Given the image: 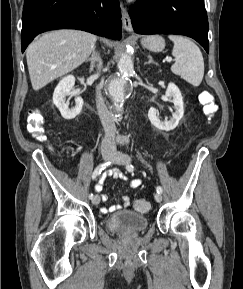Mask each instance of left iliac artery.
<instances>
[{
	"instance_id": "44dca946",
	"label": "left iliac artery",
	"mask_w": 243,
	"mask_h": 289,
	"mask_svg": "<svg viewBox=\"0 0 243 289\" xmlns=\"http://www.w3.org/2000/svg\"><path fill=\"white\" fill-rule=\"evenodd\" d=\"M127 169L129 170V171H133L134 170V166L133 165H131V164H128L127 165ZM156 191H157V193H162V191H163V189H162V187L161 186H157L156 187Z\"/></svg>"
}]
</instances>
